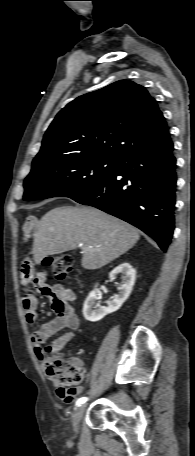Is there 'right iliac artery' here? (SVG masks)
I'll use <instances>...</instances> for the list:
<instances>
[{
  "mask_svg": "<svg viewBox=\"0 0 195 456\" xmlns=\"http://www.w3.org/2000/svg\"><path fill=\"white\" fill-rule=\"evenodd\" d=\"M87 400H88L87 397H81L76 401V405L80 406V405L84 404Z\"/></svg>",
  "mask_w": 195,
  "mask_h": 456,
  "instance_id": "82829eb1",
  "label": "right iliac artery"
}]
</instances>
